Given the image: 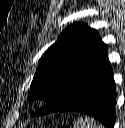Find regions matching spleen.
I'll use <instances>...</instances> for the list:
<instances>
[{"label":"spleen","instance_id":"1","mask_svg":"<svg viewBox=\"0 0 125 128\" xmlns=\"http://www.w3.org/2000/svg\"><path fill=\"white\" fill-rule=\"evenodd\" d=\"M73 128H103V127L90 117H85V118L79 117L74 122Z\"/></svg>","mask_w":125,"mask_h":128}]
</instances>
